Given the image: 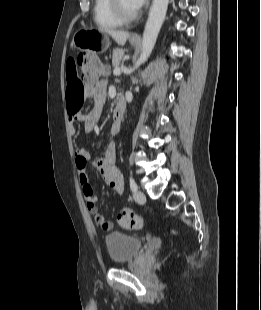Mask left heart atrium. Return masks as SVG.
Instances as JSON below:
<instances>
[{
    "label": "left heart atrium",
    "instance_id": "1",
    "mask_svg": "<svg viewBox=\"0 0 261 310\" xmlns=\"http://www.w3.org/2000/svg\"><path fill=\"white\" fill-rule=\"evenodd\" d=\"M147 0H132L133 5L135 6V8L138 10L140 9Z\"/></svg>",
    "mask_w": 261,
    "mask_h": 310
}]
</instances>
